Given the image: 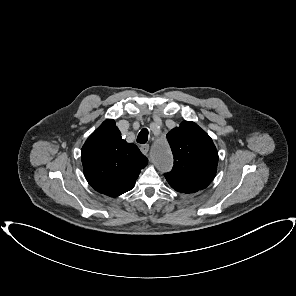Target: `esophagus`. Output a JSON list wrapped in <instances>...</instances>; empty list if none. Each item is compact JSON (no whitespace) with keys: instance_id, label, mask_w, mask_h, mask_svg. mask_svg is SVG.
<instances>
[{"instance_id":"1","label":"esophagus","mask_w":296,"mask_h":296,"mask_svg":"<svg viewBox=\"0 0 296 296\" xmlns=\"http://www.w3.org/2000/svg\"><path fill=\"white\" fill-rule=\"evenodd\" d=\"M140 151L144 154L147 155L149 152V145L148 144H144L140 146Z\"/></svg>"}]
</instances>
